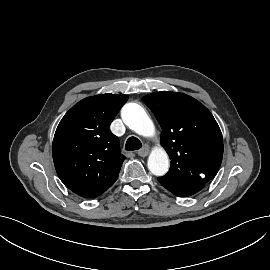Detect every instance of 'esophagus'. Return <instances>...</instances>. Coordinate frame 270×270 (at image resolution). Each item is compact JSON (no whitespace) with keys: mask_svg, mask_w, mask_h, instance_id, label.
<instances>
[{"mask_svg":"<svg viewBox=\"0 0 270 270\" xmlns=\"http://www.w3.org/2000/svg\"><path fill=\"white\" fill-rule=\"evenodd\" d=\"M137 154L141 157H146L149 154L148 146H145L142 149L138 150Z\"/></svg>","mask_w":270,"mask_h":270,"instance_id":"1","label":"esophagus"}]
</instances>
